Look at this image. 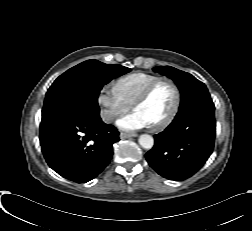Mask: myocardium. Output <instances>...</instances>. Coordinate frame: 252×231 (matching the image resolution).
<instances>
[{"label":"myocardium","instance_id":"1","mask_svg":"<svg viewBox=\"0 0 252 231\" xmlns=\"http://www.w3.org/2000/svg\"><path fill=\"white\" fill-rule=\"evenodd\" d=\"M163 81L169 82L172 85V87L174 89V103H173L172 109L170 110L168 115L162 121H160L156 125L149 126V129L153 132H157V131H160V130L166 128L176 117V115L179 111L180 105H181V90H180L178 83L170 77H166V76L159 77L156 80H154L153 82H151L140 93V95L134 100V102L131 105L132 110H134L138 105L144 103L149 98V96H150L151 92L153 91V89L155 88V86Z\"/></svg>","mask_w":252,"mask_h":231}]
</instances>
